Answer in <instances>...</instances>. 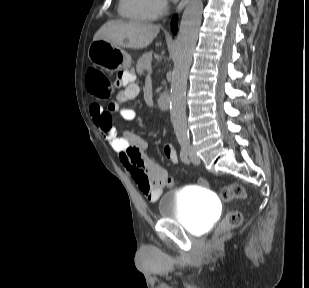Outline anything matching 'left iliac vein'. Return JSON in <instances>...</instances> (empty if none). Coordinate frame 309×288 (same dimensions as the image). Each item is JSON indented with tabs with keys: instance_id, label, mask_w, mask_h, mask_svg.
Wrapping results in <instances>:
<instances>
[{
	"instance_id": "obj_1",
	"label": "left iliac vein",
	"mask_w": 309,
	"mask_h": 288,
	"mask_svg": "<svg viewBox=\"0 0 309 288\" xmlns=\"http://www.w3.org/2000/svg\"><path fill=\"white\" fill-rule=\"evenodd\" d=\"M189 157L190 161L194 164L200 163V158L196 155L194 149L192 147L189 148Z\"/></svg>"
}]
</instances>
